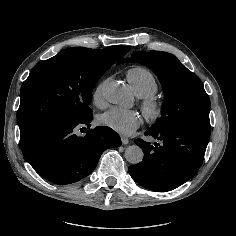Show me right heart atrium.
<instances>
[{
    "label": "right heart atrium",
    "mask_w": 236,
    "mask_h": 236,
    "mask_svg": "<svg viewBox=\"0 0 236 236\" xmlns=\"http://www.w3.org/2000/svg\"><path fill=\"white\" fill-rule=\"evenodd\" d=\"M103 84L104 83H101L93 93V99L96 103L100 102L103 99V94H102Z\"/></svg>",
    "instance_id": "obj_1"
}]
</instances>
